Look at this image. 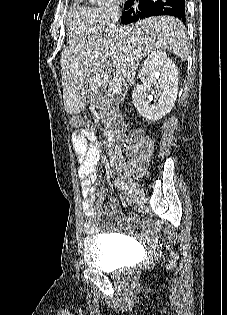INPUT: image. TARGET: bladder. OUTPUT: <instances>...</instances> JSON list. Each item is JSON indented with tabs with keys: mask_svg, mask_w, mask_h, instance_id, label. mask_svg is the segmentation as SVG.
<instances>
[{
	"mask_svg": "<svg viewBox=\"0 0 227 315\" xmlns=\"http://www.w3.org/2000/svg\"><path fill=\"white\" fill-rule=\"evenodd\" d=\"M131 245L129 240L116 235L86 237L83 244L84 263L102 271L126 267L123 262Z\"/></svg>",
	"mask_w": 227,
	"mask_h": 315,
	"instance_id": "bladder-1",
	"label": "bladder"
}]
</instances>
